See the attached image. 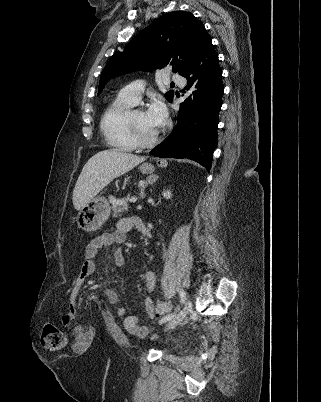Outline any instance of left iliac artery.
<instances>
[{"mask_svg":"<svg viewBox=\"0 0 321 402\" xmlns=\"http://www.w3.org/2000/svg\"><path fill=\"white\" fill-rule=\"evenodd\" d=\"M179 295H180V301H181V303H184L185 300H186V293H185V291H184V290H180V291H179ZM174 316H175L174 314H170V315H168V316H165V317H163V318L159 321V323L162 324V323H164V322L170 320V319L173 318Z\"/></svg>","mask_w":321,"mask_h":402,"instance_id":"obj_1","label":"left iliac artery"}]
</instances>
